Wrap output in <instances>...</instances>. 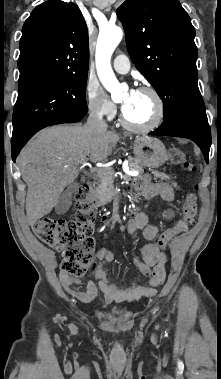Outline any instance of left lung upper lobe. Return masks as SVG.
Listing matches in <instances>:
<instances>
[{
	"label": "left lung upper lobe",
	"instance_id": "obj_1",
	"mask_svg": "<svg viewBox=\"0 0 221 379\" xmlns=\"http://www.w3.org/2000/svg\"><path fill=\"white\" fill-rule=\"evenodd\" d=\"M117 16L137 69L163 101V120L207 119L197 84L195 29L178 0H126Z\"/></svg>",
	"mask_w": 221,
	"mask_h": 379
}]
</instances>
